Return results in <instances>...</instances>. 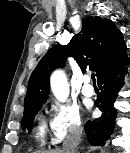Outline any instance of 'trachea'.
I'll return each instance as SVG.
<instances>
[{
    "instance_id": "3493384b",
    "label": "trachea",
    "mask_w": 130,
    "mask_h": 153,
    "mask_svg": "<svg viewBox=\"0 0 130 153\" xmlns=\"http://www.w3.org/2000/svg\"><path fill=\"white\" fill-rule=\"evenodd\" d=\"M91 78H92L93 84H96V79H95L94 73L91 74Z\"/></svg>"
}]
</instances>
